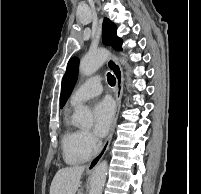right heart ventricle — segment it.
Segmentation results:
<instances>
[{
	"label": "right heart ventricle",
	"mask_w": 201,
	"mask_h": 194,
	"mask_svg": "<svg viewBox=\"0 0 201 194\" xmlns=\"http://www.w3.org/2000/svg\"><path fill=\"white\" fill-rule=\"evenodd\" d=\"M81 131L75 127L69 116L65 117V130L62 136V147L65 161L69 164L83 163L92 152L86 150L80 142Z\"/></svg>",
	"instance_id": "e07e8e85"
}]
</instances>
